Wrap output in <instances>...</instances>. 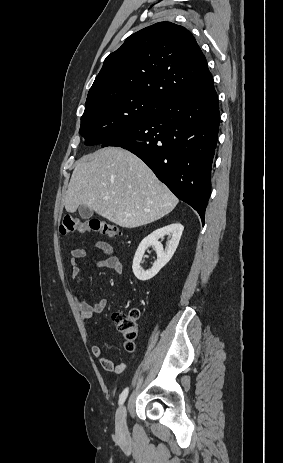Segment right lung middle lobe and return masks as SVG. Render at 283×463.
I'll use <instances>...</instances> for the list:
<instances>
[{"mask_svg":"<svg viewBox=\"0 0 283 463\" xmlns=\"http://www.w3.org/2000/svg\"><path fill=\"white\" fill-rule=\"evenodd\" d=\"M159 103L133 93L119 92L86 102L80 133L86 145L102 144L148 118Z\"/></svg>","mask_w":283,"mask_h":463,"instance_id":"1","label":"right lung middle lobe"}]
</instances>
